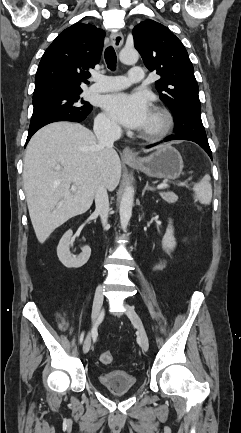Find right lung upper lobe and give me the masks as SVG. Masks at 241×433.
I'll list each match as a JSON object with an SVG mask.
<instances>
[{
    "mask_svg": "<svg viewBox=\"0 0 241 433\" xmlns=\"http://www.w3.org/2000/svg\"><path fill=\"white\" fill-rule=\"evenodd\" d=\"M105 32L75 23L61 32L44 52L35 76L33 97L57 91H82L89 69L100 60Z\"/></svg>",
    "mask_w": 241,
    "mask_h": 433,
    "instance_id": "1",
    "label": "right lung upper lobe"
}]
</instances>
